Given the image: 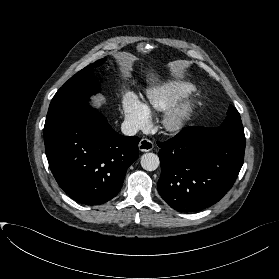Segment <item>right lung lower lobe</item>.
<instances>
[{
	"label": "right lung lower lobe",
	"mask_w": 279,
	"mask_h": 279,
	"mask_svg": "<svg viewBox=\"0 0 279 279\" xmlns=\"http://www.w3.org/2000/svg\"><path fill=\"white\" fill-rule=\"evenodd\" d=\"M139 141L115 132L86 100L44 127L46 156L57 183L85 205H100L118 194L138 157Z\"/></svg>",
	"instance_id": "right-lung-lower-lobe-1"
}]
</instances>
